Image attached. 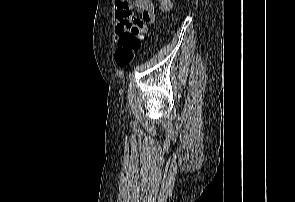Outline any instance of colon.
<instances>
[{
	"instance_id": "obj_1",
	"label": "colon",
	"mask_w": 295,
	"mask_h": 202,
	"mask_svg": "<svg viewBox=\"0 0 295 202\" xmlns=\"http://www.w3.org/2000/svg\"><path fill=\"white\" fill-rule=\"evenodd\" d=\"M143 26L131 24L119 34V48L116 50L114 59L118 66L126 67L134 59V53L140 48Z\"/></svg>"
}]
</instances>
